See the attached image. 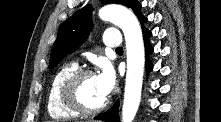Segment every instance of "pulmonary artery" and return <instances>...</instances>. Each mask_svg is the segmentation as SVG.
<instances>
[{
    "label": "pulmonary artery",
    "instance_id": "pulmonary-artery-1",
    "mask_svg": "<svg viewBox=\"0 0 221 122\" xmlns=\"http://www.w3.org/2000/svg\"><path fill=\"white\" fill-rule=\"evenodd\" d=\"M103 43L110 48L121 46V37L117 30H108L103 35Z\"/></svg>",
    "mask_w": 221,
    "mask_h": 122
}]
</instances>
